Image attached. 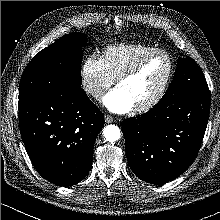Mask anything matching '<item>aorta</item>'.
Wrapping results in <instances>:
<instances>
[{"label":"aorta","mask_w":220,"mask_h":220,"mask_svg":"<svg viewBox=\"0 0 220 220\" xmlns=\"http://www.w3.org/2000/svg\"><path fill=\"white\" fill-rule=\"evenodd\" d=\"M104 137L109 142H115L121 138V131L116 125H108L103 129Z\"/></svg>","instance_id":"762f6f07"}]
</instances>
